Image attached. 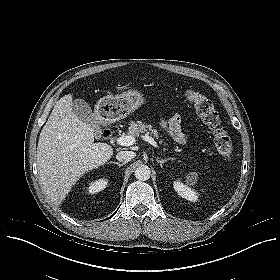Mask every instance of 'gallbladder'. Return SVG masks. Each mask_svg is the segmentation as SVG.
Returning a JSON list of instances; mask_svg holds the SVG:
<instances>
[{
	"mask_svg": "<svg viewBox=\"0 0 280 280\" xmlns=\"http://www.w3.org/2000/svg\"><path fill=\"white\" fill-rule=\"evenodd\" d=\"M72 110L81 121L93 129L95 137L99 139L102 134V128L95 120V115L90 105L83 99H75L72 102Z\"/></svg>",
	"mask_w": 280,
	"mask_h": 280,
	"instance_id": "gallbladder-1",
	"label": "gallbladder"
}]
</instances>
